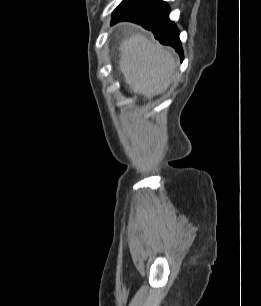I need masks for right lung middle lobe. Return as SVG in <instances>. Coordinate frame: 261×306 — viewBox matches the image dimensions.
Segmentation results:
<instances>
[{"label":"right lung middle lobe","instance_id":"right-lung-middle-lobe-1","mask_svg":"<svg viewBox=\"0 0 261 306\" xmlns=\"http://www.w3.org/2000/svg\"><path fill=\"white\" fill-rule=\"evenodd\" d=\"M130 2H131V0H123V2L116 8L115 11H117V10L123 8L124 6H126V5H127L128 3H130Z\"/></svg>","mask_w":261,"mask_h":306}]
</instances>
